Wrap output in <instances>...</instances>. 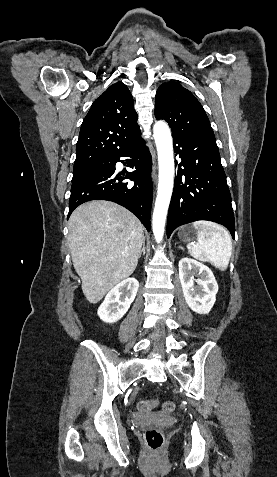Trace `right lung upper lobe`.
I'll use <instances>...</instances> for the list:
<instances>
[{"mask_svg":"<svg viewBox=\"0 0 277 477\" xmlns=\"http://www.w3.org/2000/svg\"><path fill=\"white\" fill-rule=\"evenodd\" d=\"M133 97L122 82L111 85L92 104L76 146L74 168L98 165L141 137Z\"/></svg>","mask_w":277,"mask_h":477,"instance_id":"obj_1","label":"right lung upper lobe"}]
</instances>
